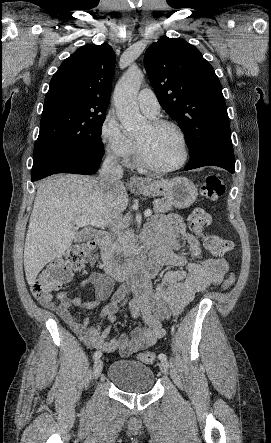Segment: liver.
<instances>
[{
  "mask_svg": "<svg viewBox=\"0 0 271 443\" xmlns=\"http://www.w3.org/2000/svg\"><path fill=\"white\" fill-rule=\"evenodd\" d=\"M97 178L59 174L40 182L30 216L24 245V269L29 285H33L44 265L62 255L72 241H81L92 227L75 222L78 218L103 220L110 225L119 220L128 206L123 182L116 188L99 190Z\"/></svg>",
  "mask_w": 271,
  "mask_h": 443,
  "instance_id": "6515ba94",
  "label": "liver"
}]
</instances>
